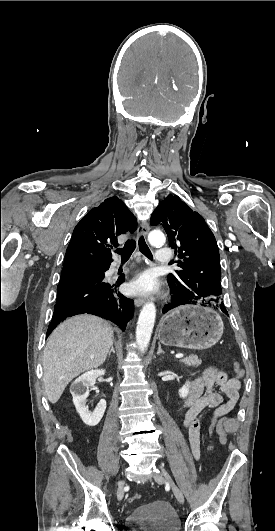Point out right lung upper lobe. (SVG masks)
Returning a JSON list of instances; mask_svg holds the SVG:
<instances>
[{"instance_id":"right-lung-upper-lobe-1","label":"right lung upper lobe","mask_w":275,"mask_h":531,"mask_svg":"<svg viewBox=\"0 0 275 531\" xmlns=\"http://www.w3.org/2000/svg\"><path fill=\"white\" fill-rule=\"evenodd\" d=\"M137 228L135 216L116 196L93 208L76 225L66 250L63 268L82 264H110V248L117 237Z\"/></svg>"}]
</instances>
